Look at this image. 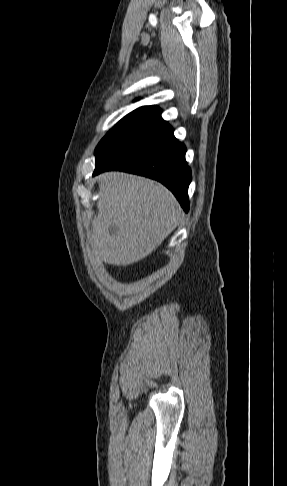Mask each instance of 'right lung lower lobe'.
<instances>
[{
  "label": "right lung lower lobe",
  "mask_w": 287,
  "mask_h": 486,
  "mask_svg": "<svg viewBox=\"0 0 287 486\" xmlns=\"http://www.w3.org/2000/svg\"><path fill=\"white\" fill-rule=\"evenodd\" d=\"M186 148L173 135L172 127L162 122L140 138L96 163L94 174L121 170L163 183L188 212V186L191 170L185 160Z\"/></svg>",
  "instance_id": "right-lung-lower-lobe-1"
}]
</instances>
